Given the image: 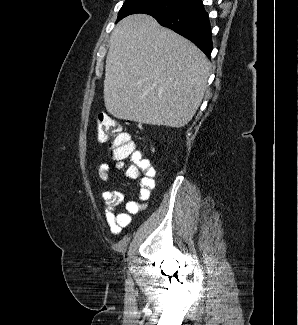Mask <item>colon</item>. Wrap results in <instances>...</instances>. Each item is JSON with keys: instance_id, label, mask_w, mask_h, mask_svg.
Listing matches in <instances>:
<instances>
[{"instance_id": "1", "label": "colon", "mask_w": 298, "mask_h": 325, "mask_svg": "<svg viewBox=\"0 0 298 325\" xmlns=\"http://www.w3.org/2000/svg\"><path fill=\"white\" fill-rule=\"evenodd\" d=\"M96 137L100 143L110 142L111 153L115 159L128 160L131 163L127 169L128 177L135 178L154 168L149 160L135 150L129 135L122 131L120 122L107 113H100L96 118Z\"/></svg>"}]
</instances>
